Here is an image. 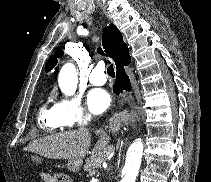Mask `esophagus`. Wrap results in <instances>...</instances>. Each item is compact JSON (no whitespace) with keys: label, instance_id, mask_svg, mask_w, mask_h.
I'll use <instances>...</instances> for the list:
<instances>
[{"label":"esophagus","instance_id":"34e87169","mask_svg":"<svg viewBox=\"0 0 211 182\" xmlns=\"http://www.w3.org/2000/svg\"><path fill=\"white\" fill-rule=\"evenodd\" d=\"M128 98H129V94H128L127 92H123V93L121 94V100H122V101H127ZM134 120H137V118H135Z\"/></svg>","mask_w":211,"mask_h":182}]
</instances>
